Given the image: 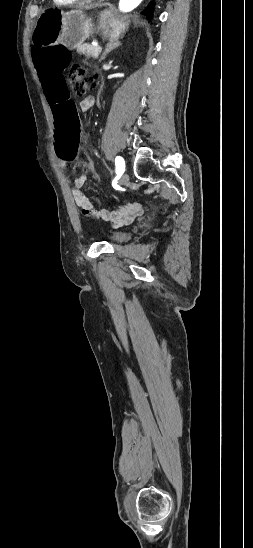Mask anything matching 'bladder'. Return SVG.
Returning a JSON list of instances; mask_svg holds the SVG:
<instances>
[{
    "label": "bladder",
    "instance_id": "31cf9c89",
    "mask_svg": "<svg viewBox=\"0 0 253 548\" xmlns=\"http://www.w3.org/2000/svg\"><path fill=\"white\" fill-rule=\"evenodd\" d=\"M132 236L128 231H116L109 235L108 240L113 243H124L128 241Z\"/></svg>",
    "mask_w": 253,
    "mask_h": 548
}]
</instances>
